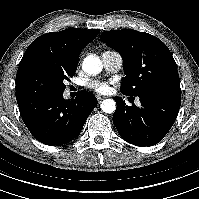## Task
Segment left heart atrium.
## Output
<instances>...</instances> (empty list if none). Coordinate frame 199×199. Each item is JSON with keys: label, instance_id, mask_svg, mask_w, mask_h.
Instances as JSON below:
<instances>
[{"label": "left heart atrium", "instance_id": "1", "mask_svg": "<svg viewBox=\"0 0 199 199\" xmlns=\"http://www.w3.org/2000/svg\"><path fill=\"white\" fill-rule=\"evenodd\" d=\"M88 87L98 93H106L109 91V84L99 80H91L88 82Z\"/></svg>", "mask_w": 199, "mask_h": 199}]
</instances>
